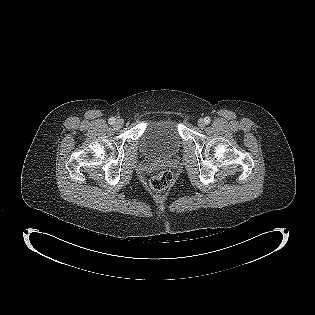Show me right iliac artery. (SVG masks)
Masks as SVG:
<instances>
[{
    "instance_id": "1",
    "label": "right iliac artery",
    "mask_w": 315,
    "mask_h": 315,
    "mask_svg": "<svg viewBox=\"0 0 315 315\" xmlns=\"http://www.w3.org/2000/svg\"><path fill=\"white\" fill-rule=\"evenodd\" d=\"M108 123H109V124H114V123H115V118H114V117H111V118L108 120Z\"/></svg>"
}]
</instances>
